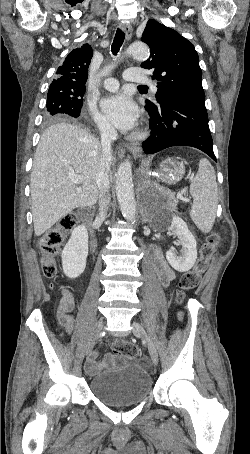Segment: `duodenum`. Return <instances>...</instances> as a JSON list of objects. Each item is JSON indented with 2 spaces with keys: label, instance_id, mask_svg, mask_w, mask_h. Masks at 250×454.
<instances>
[{
  "label": "duodenum",
  "instance_id": "410a0bca",
  "mask_svg": "<svg viewBox=\"0 0 250 454\" xmlns=\"http://www.w3.org/2000/svg\"><path fill=\"white\" fill-rule=\"evenodd\" d=\"M83 219H84L85 223H87L89 225L91 224V222H92V214H91V212L89 210H87V211H85L83 213ZM91 237H92V239L95 238L94 232H91Z\"/></svg>",
  "mask_w": 250,
  "mask_h": 454
}]
</instances>
